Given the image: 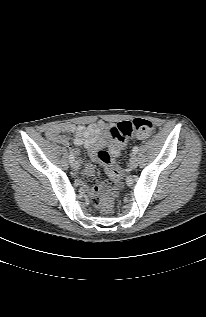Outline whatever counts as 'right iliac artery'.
<instances>
[{"instance_id": "right-iliac-artery-1", "label": "right iliac artery", "mask_w": 206, "mask_h": 317, "mask_svg": "<svg viewBox=\"0 0 206 317\" xmlns=\"http://www.w3.org/2000/svg\"><path fill=\"white\" fill-rule=\"evenodd\" d=\"M74 155L72 152H70V155H69V159H70V162L72 163L74 161Z\"/></svg>"}]
</instances>
